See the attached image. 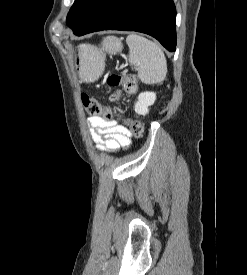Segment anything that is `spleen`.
<instances>
[{"mask_svg":"<svg viewBox=\"0 0 247 275\" xmlns=\"http://www.w3.org/2000/svg\"><path fill=\"white\" fill-rule=\"evenodd\" d=\"M129 47V63L137 67L138 78L144 84L162 82L167 74V61L161 47L143 36L130 34L126 38ZM103 47H110L109 38Z\"/></svg>","mask_w":247,"mask_h":275,"instance_id":"spleen-1","label":"spleen"}]
</instances>
